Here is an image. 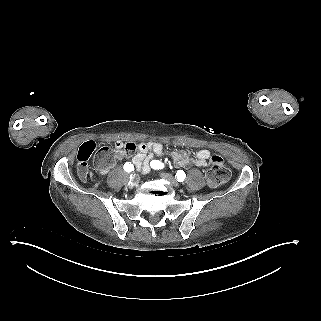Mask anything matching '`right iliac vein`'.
Listing matches in <instances>:
<instances>
[{"label":"right iliac vein","instance_id":"right-iliac-vein-1","mask_svg":"<svg viewBox=\"0 0 321 321\" xmlns=\"http://www.w3.org/2000/svg\"><path fill=\"white\" fill-rule=\"evenodd\" d=\"M125 184H127L128 186H131V185H132V182L129 181V176H127L126 181H125Z\"/></svg>","mask_w":321,"mask_h":321}]
</instances>
